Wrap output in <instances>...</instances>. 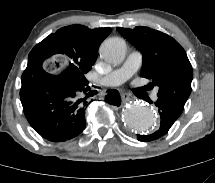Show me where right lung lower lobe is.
Wrapping results in <instances>:
<instances>
[{"mask_svg": "<svg viewBox=\"0 0 215 183\" xmlns=\"http://www.w3.org/2000/svg\"><path fill=\"white\" fill-rule=\"evenodd\" d=\"M42 62V56L32 49L21 79L24 114L43 138L52 142L70 140L85 129V110L96 91L85 76H75L69 67L53 76L43 70ZM105 101L120 106L119 92L108 90Z\"/></svg>", "mask_w": 215, "mask_h": 183, "instance_id": "right-lung-lower-lobe-1", "label": "right lung lower lobe"}]
</instances>
